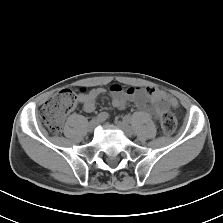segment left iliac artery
<instances>
[{
  "label": "left iliac artery",
  "mask_w": 223,
  "mask_h": 223,
  "mask_svg": "<svg viewBox=\"0 0 223 223\" xmlns=\"http://www.w3.org/2000/svg\"><path fill=\"white\" fill-rule=\"evenodd\" d=\"M124 120H125V121H128L129 123H132V120H131V118H130L129 116H126V117L124 118Z\"/></svg>",
  "instance_id": "1"
}]
</instances>
